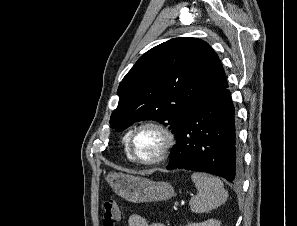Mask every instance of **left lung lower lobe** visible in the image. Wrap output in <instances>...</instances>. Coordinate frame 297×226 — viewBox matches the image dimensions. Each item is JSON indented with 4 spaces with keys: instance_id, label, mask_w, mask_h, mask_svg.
Instances as JSON below:
<instances>
[{
    "instance_id": "1",
    "label": "left lung lower lobe",
    "mask_w": 297,
    "mask_h": 226,
    "mask_svg": "<svg viewBox=\"0 0 297 226\" xmlns=\"http://www.w3.org/2000/svg\"><path fill=\"white\" fill-rule=\"evenodd\" d=\"M228 86L210 90L182 122L171 150V169H187L240 181L234 106Z\"/></svg>"
}]
</instances>
